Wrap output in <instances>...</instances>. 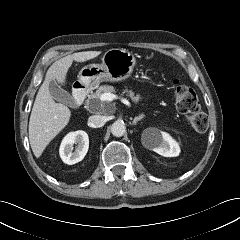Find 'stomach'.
I'll return each instance as SVG.
<instances>
[{"label":"stomach","mask_w":240,"mask_h":240,"mask_svg":"<svg viewBox=\"0 0 240 240\" xmlns=\"http://www.w3.org/2000/svg\"><path fill=\"white\" fill-rule=\"evenodd\" d=\"M136 58L126 49H109L101 64L84 66L78 75V82L88 90L97 88L104 81H121L128 78L134 69Z\"/></svg>","instance_id":"stomach-1"}]
</instances>
